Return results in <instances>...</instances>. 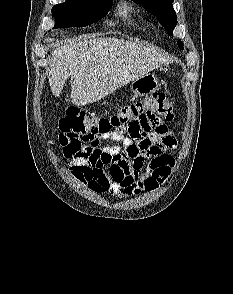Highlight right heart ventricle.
<instances>
[{"instance_id": "obj_1", "label": "right heart ventricle", "mask_w": 233, "mask_h": 294, "mask_svg": "<svg viewBox=\"0 0 233 294\" xmlns=\"http://www.w3.org/2000/svg\"><path fill=\"white\" fill-rule=\"evenodd\" d=\"M119 14L129 24H132V25L138 24L137 19L135 18V16H133L128 5L122 4V6L119 9Z\"/></svg>"}]
</instances>
